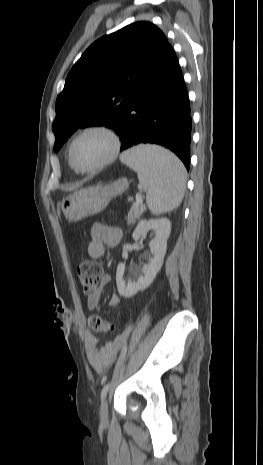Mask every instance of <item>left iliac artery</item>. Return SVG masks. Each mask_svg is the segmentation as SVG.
I'll use <instances>...</instances> for the list:
<instances>
[{
	"label": "left iliac artery",
	"mask_w": 263,
	"mask_h": 465,
	"mask_svg": "<svg viewBox=\"0 0 263 465\" xmlns=\"http://www.w3.org/2000/svg\"><path fill=\"white\" fill-rule=\"evenodd\" d=\"M110 385H111V383H107V384L103 387L102 392H101V400H103V398L106 396V394H107V392H108V390H109V388H110Z\"/></svg>",
	"instance_id": "1"
}]
</instances>
